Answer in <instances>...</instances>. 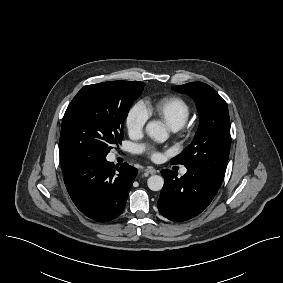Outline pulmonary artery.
Masks as SVG:
<instances>
[{
	"label": "pulmonary artery",
	"mask_w": 283,
	"mask_h": 283,
	"mask_svg": "<svg viewBox=\"0 0 283 283\" xmlns=\"http://www.w3.org/2000/svg\"><path fill=\"white\" fill-rule=\"evenodd\" d=\"M186 171H187V169H186V168H183V169L181 170V173H182V174H185Z\"/></svg>",
	"instance_id": "obj_1"
}]
</instances>
